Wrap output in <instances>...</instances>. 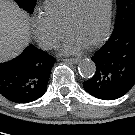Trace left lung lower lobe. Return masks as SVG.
Listing matches in <instances>:
<instances>
[{"mask_svg":"<svg viewBox=\"0 0 135 135\" xmlns=\"http://www.w3.org/2000/svg\"><path fill=\"white\" fill-rule=\"evenodd\" d=\"M96 73L83 83L86 92L103 100L125 95L135 84V22L108 41L91 58Z\"/></svg>","mask_w":135,"mask_h":135,"instance_id":"0a47b994","label":"left lung lower lobe"}]
</instances>
